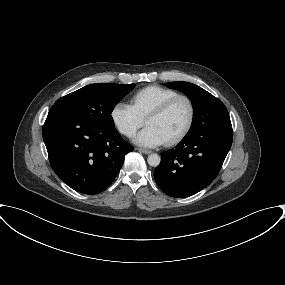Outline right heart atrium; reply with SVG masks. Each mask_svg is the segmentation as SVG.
I'll return each instance as SVG.
<instances>
[{
	"mask_svg": "<svg viewBox=\"0 0 285 285\" xmlns=\"http://www.w3.org/2000/svg\"><path fill=\"white\" fill-rule=\"evenodd\" d=\"M111 119L116 129L124 136L131 137L143 125L144 119L131 104L117 102L111 110Z\"/></svg>",
	"mask_w": 285,
	"mask_h": 285,
	"instance_id": "obj_1",
	"label": "right heart atrium"
}]
</instances>
